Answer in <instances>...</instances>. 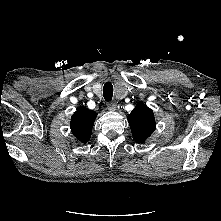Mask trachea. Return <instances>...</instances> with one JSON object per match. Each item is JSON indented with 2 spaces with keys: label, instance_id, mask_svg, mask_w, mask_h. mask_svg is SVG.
Here are the masks:
<instances>
[{
  "label": "trachea",
  "instance_id": "trachea-1",
  "mask_svg": "<svg viewBox=\"0 0 221 221\" xmlns=\"http://www.w3.org/2000/svg\"><path fill=\"white\" fill-rule=\"evenodd\" d=\"M103 96L106 101H111L113 96V85L111 82H106L103 87Z\"/></svg>",
  "mask_w": 221,
  "mask_h": 221
}]
</instances>
